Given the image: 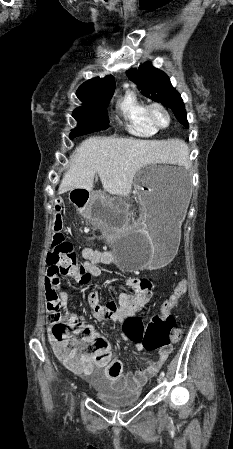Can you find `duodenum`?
<instances>
[{
	"label": "duodenum",
	"instance_id": "410a0bca",
	"mask_svg": "<svg viewBox=\"0 0 233 449\" xmlns=\"http://www.w3.org/2000/svg\"><path fill=\"white\" fill-rule=\"evenodd\" d=\"M72 191V206H89L91 204V192L87 186H74Z\"/></svg>",
	"mask_w": 233,
	"mask_h": 449
}]
</instances>
